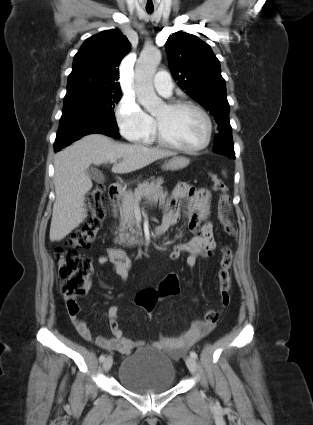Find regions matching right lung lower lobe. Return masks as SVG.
<instances>
[{"label":"right lung lower lobe","instance_id":"98d812e1","mask_svg":"<svg viewBox=\"0 0 313 425\" xmlns=\"http://www.w3.org/2000/svg\"><path fill=\"white\" fill-rule=\"evenodd\" d=\"M117 129L114 115L73 107L63 109L54 151L58 152L88 134L100 133L110 137H119Z\"/></svg>","mask_w":313,"mask_h":425}]
</instances>
